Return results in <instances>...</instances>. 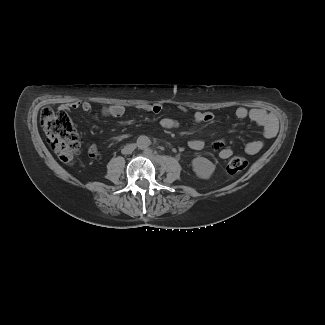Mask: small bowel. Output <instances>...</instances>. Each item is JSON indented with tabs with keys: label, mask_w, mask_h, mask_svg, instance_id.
<instances>
[{
	"label": "small bowel",
	"mask_w": 325,
	"mask_h": 325,
	"mask_svg": "<svg viewBox=\"0 0 325 325\" xmlns=\"http://www.w3.org/2000/svg\"><path fill=\"white\" fill-rule=\"evenodd\" d=\"M81 108L84 112L89 113L92 110V106L89 102H74L67 105H60L57 107L56 112L59 115L60 119L66 125V129L73 133L76 130L75 124L73 120L68 116L72 113V109ZM142 110L146 112H151L154 114H160L164 106L162 104H154V105H142L140 107ZM178 109L181 112H186L187 109L185 107L179 106ZM125 109L121 105H110L106 106L102 109L101 113L104 116L119 118L123 116ZM235 115L239 119H250L257 125H259L264 132V136L268 139L273 138L276 133V124L269 114H267L262 109H248L245 106H239L236 111ZM214 120V115L211 112H203V111H196L193 114L192 121L194 124L198 123H210ZM159 124L164 129H174L183 126V123L177 119L170 118V117H163L160 119ZM188 146L190 149L199 151L202 150L205 146V142L202 139H192L188 142ZM215 148L219 149V156L222 159H228L233 155V149L227 146L223 141H218L214 143ZM264 146V142L262 140H254L248 142L245 145V152L247 154L253 155L258 153L262 150ZM88 155L93 159H101L102 155L98 148L91 144L88 146Z\"/></svg>",
	"instance_id": "1"
}]
</instances>
